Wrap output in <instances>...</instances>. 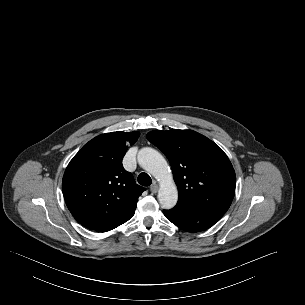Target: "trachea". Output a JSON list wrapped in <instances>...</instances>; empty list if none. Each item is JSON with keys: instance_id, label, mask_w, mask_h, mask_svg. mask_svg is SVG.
<instances>
[{"instance_id": "obj_1", "label": "trachea", "mask_w": 305, "mask_h": 305, "mask_svg": "<svg viewBox=\"0 0 305 305\" xmlns=\"http://www.w3.org/2000/svg\"><path fill=\"white\" fill-rule=\"evenodd\" d=\"M137 180L142 186H149L152 183L151 177L147 173H141Z\"/></svg>"}]
</instances>
